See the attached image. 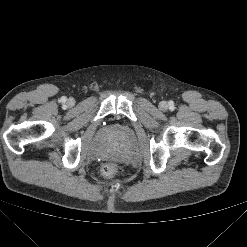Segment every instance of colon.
<instances>
[{
	"mask_svg": "<svg viewBox=\"0 0 247 247\" xmlns=\"http://www.w3.org/2000/svg\"><path fill=\"white\" fill-rule=\"evenodd\" d=\"M117 173V166L114 163H106L103 165L102 167V174L107 177V178H111L113 176H115V174Z\"/></svg>",
	"mask_w": 247,
	"mask_h": 247,
	"instance_id": "1",
	"label": "colon"
}]
</instances>
